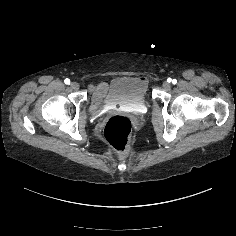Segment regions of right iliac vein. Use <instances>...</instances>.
<instances>
[{"label": "right iliac vein", "mask_w": 236, "mask_h": 236, "mask_svg": "<svg viewBox=\"0 0 236 236\" xmlns=\"http://www.w3.org/2000/svg\"><path fill=\"white\" fill-rule=\"evenodd\" d=\"M70 87L73 89V90H78L79 89V84L77 82H72L70 84Z\"/></svg>", "instance_id": "63e3f726"}]
</instances>
